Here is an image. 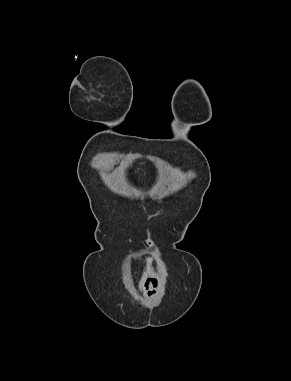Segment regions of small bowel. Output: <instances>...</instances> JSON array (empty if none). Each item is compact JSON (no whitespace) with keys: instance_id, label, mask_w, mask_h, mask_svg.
I'll use <instances>...</instances> for the list:
<instances>
[{"instance_id":"1","label":"small bowel","mask_w":291,"mask_h":381,"mask_svg":"<svg viewBox=\"0 0 291 381\" xmlns=\"http://www.w3.org/2000/svg\"><path fill=\"white\" fill-rule=\"evenodd\" d=\"M159 288V276L154 271L151 260H148L139 282L140 291L148 298L154 299Z\"/></svg>"}]
</instances>
